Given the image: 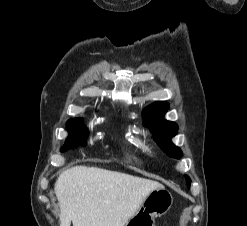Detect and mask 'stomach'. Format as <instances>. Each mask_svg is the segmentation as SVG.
<instances>
[{
    "label": "stomach",
    "instance_id": "obj_1",
    "mask_svg": "<svg viewBox=\"0 0 247 226\" xmlns=\"http://www.w3.org/2000/svg\"><path fill=\"white\" fill-rule=\"evenodd\" d=\"M173 196L161 186L148 193L136 213L124 226H155L154 218L164 215L171 208Z\"/></svg>",
    "mask_w": 247,
    "mask_h": 226
}]
</instances>
